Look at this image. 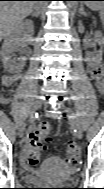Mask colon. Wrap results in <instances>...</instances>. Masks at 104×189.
Segmentation results:
<instances>
[{"mask_svg": "<svg viewBox=\"0 0 104 189\" xmlns=\"http://www.w3.org/2000/svg\"><path fill=\"white\" fill-rule=\"evenodd\" d=\"M94 73L98 76L102 74L101 68H96ZM51 126L48 123H41L37 126L36 130L33 132L28 151L25 155L26 164L30 168H35L41 157V152L45 147V144L50 140ZM66 154L68 161L72 164L76 163L79 159L80 151L78 146L71 142L66 148Z\"/></svg>", "mask_w": 104, "mask_h": 189, "instance_id": "obj_1", "label": "colon"}]
</instances>
